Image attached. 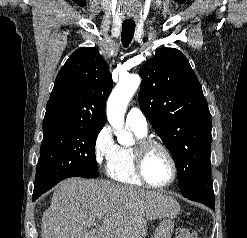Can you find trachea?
Here are the masks:
<instances>
[{"label":"trachea","mask_w":247,"mask_h":238,"mask_svg":"<svg viewBox=\"0 0 247 238\" xmlns=\"http://www.w3.org/2000/svg\"><path fill=\"white\" fill-rule=\"evenodd\" d=\"M135 31L134 21H124L122 24L121 41L124 47H128L131 43Z\"/></svg>","instance_id":"trachea-1"}]
</instances>
